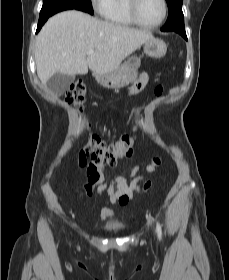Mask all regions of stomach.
<instances>
[{"mask_svg":"<svg viewBox=\"0 0 229 280\" xmlns=\"http://www.w3.org/2000/svg\"><path fill=\"white\" fill-rule=\"evenodd\" d=\"M144 53L152 58H161L167 51V46L161 39H151L143 43ZM140 59L137 57L130 58L125 64L117 69L96 74V81L105 88L119 89L129 85L137 79Z\"/></svg>","mask_w":229,"mask_h":280,"instance_id":"1","label":"stomach"}]
</instances>
